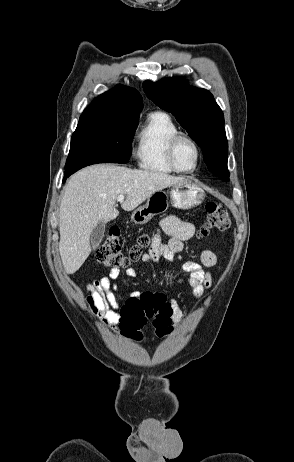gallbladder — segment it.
I'll list each match as a JSON object with an SVG mask.
<instances>
[{"label":"gallbladder","instance_id":"gallbladder-1","mask_svg":"<svg viewBox=\"0 0 294 462\" xmlns=\"http://www.w3.org/2000/svg\"><path fill=\"white\" fill-rule=\"evenodd\" d=\"M105 224V222H99L97 226L92 230L90 235V244L92 249H96L101 243L104 237Z\"/></svg>","mask_w":294,"mask_h":462}]
</instances>
